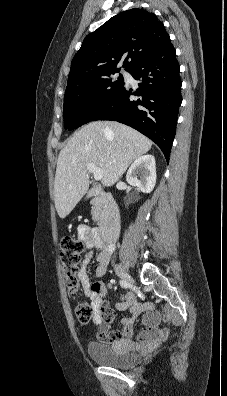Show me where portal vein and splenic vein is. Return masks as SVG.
Here are the masks:
<instances>
[{
  "mask_svg": "<svg viewBox=\"0 0 227 396\" xmlns=\"http://www.w3.org/2000/svg\"><path fill=\"white\" fill-rule=\"evenodd\" d=\"M87 170L94 175L95 180H101L103 178V171L97 168L94 164L88 163L86 166Z\"/></svg>",
  "mask_w": 227,
  "mask_h": 396,
  "instance_id": "1",
  "label": "portal vein and splenic vein"
}]
</instances>
